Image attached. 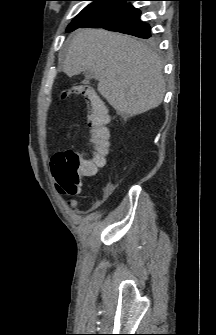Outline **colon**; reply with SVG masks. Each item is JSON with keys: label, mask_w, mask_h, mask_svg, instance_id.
Masks as SVG:
<instances>
[{"label": "colon", "mask_w": 216, "mask_h": 335, "mask_svg": "<svg viewBox=\"0 0 216 335\" xmlns=\"http://www.w3.org/2000/svg\"><path fill=\"white\" fill-rule=\"evenodd\" d=\"M70 94L82 95L88 101L86 122L91 130L93 150L91 158L81 162L80 155L72 148L65 149L52 157V173L57 180V189L65 195H76L80 185L85 184L84 178H97L98 172H104L107 165L110 145L109 118L106 106L95 96L92 89L84 84L76 85L69 92H64L62 98Z\"/></svg>", "instance_id": "colon-1"}]
</instances>
